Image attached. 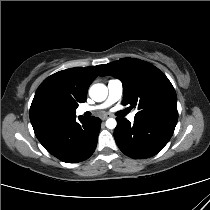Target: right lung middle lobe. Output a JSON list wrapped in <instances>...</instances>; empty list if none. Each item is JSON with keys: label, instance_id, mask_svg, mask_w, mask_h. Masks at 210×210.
Instances as JSON below:
<instances>
[{"label": "right lung middle lobe", "instance_id": "dd1d6c3e", "mask_svg": "<svg viewBox=\"0 0 210 210\" xmlns=\"http://www.w3.org/2000/svg\"><path fill=\"white\" fill-rule=\"evenodd\" d=\"M69 116L68 109L59 104H49L35 116L32 126L35 133H41L61 123Z\"/></svg>", "mask_w": 210, "mask_h": 210}]
</instances>
